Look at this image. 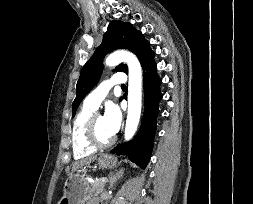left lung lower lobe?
I'll return each instance as SVG.
<instances>
[{
  "label": "left lung lower lobe",
  "instance_id": "obj_1",
  "mask_svg": "<svg viewBox=\"0 0 253 204\" xmlns=\"http://www.w3.org/2000/svg\"><path fill=\"white\" fill-rule=\"evenodd\" d=\"M155 52L148 50L141 63L144 77L145 110L141 128L135 138L127 144L117 145L111 153L126 155L129 159L145 168L148 164L153 148L156 132V118L158 103L162 98L160 92L161 79L156 71L154 61Z\"/></svg>",
  "mask_w": 253,
  "mask_h": 204
}]
</instances>
